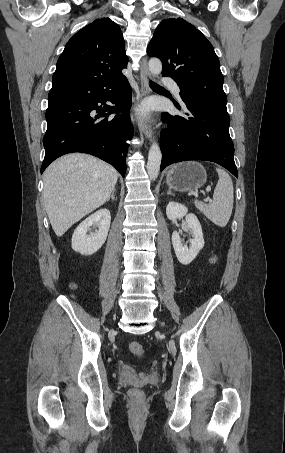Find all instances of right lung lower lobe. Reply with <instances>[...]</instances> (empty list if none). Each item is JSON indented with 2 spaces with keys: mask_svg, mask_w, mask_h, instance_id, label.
Masks as SVG:
<instances>
[{
  "mask_svg": "<svg viewBox=\"0 0 285 453\" xmlns=\"http://www.w3.org/2000/svg\"><path fill=\"white\" fill-rule=\"evenodd\" d=\"M110 101L115 106H98ZM131 88L124 75L86 81L68 79L52 82L46 110L45 157L41 173L56 158L72 152L94 155L113 165L125 176L128 145L133 127L127 109ZM94 111L98 114L94 115ZM124 111L113 119L108 115ZM108 112V113H106Z\"/></svg>",
  "mask_w": 285,
  "mask_h": 453,
  "instance_id": "right-lung-lower-lobe-1",
  "label": "right lung lower lobe"
}]
</instances>
